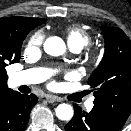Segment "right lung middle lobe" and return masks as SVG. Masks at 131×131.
I'll use <instances>...</instances> for the list:
<instances>
[{"label": "right lung middle lobe", "mask_w": 131, "mask_h": 131, "mask_svg": "<svg viewBox=\"0 0 131 131\" xmlns=\"http://www.w3.org/2000/svg\"><path fill=\"white\" fill-rule=\"evenodd\" d=\"M39 24L28 23L19 27L17 32H15L13 37L12 46L8 52V54L0 60V70L6 73L5 67L9 64L19 62L20 60V50L22 46V42L25 39L26 35L37 27Z\"/></svg>", "instance_id": "1"}]
</instances>
